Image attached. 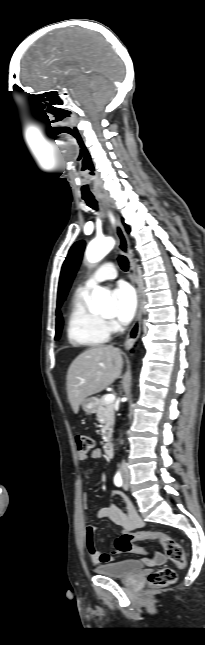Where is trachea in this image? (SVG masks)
Returning a JSON list of instances; mask_svg holds the SVG:
<instances>
[{"label": "trachea", "mask_w": 205, "mask_h": 645, "mask_svg": "<svg viewBox=\"0 0 205 645\" xmlns=\"http://www.w3.org/2000/svg\"><path fill=\"white\" fill-rule=\"evenodd\" d=\"M83 199L85 200L86 204L91 207L92 209H98V204L97 201L95 200L94 197L91 196H83ZM118 262L123 271H127L129 268V262L128 259L124 255H120L118 257Z\"/></svg>", "instance_id": "3493384b"}]
</instances>
